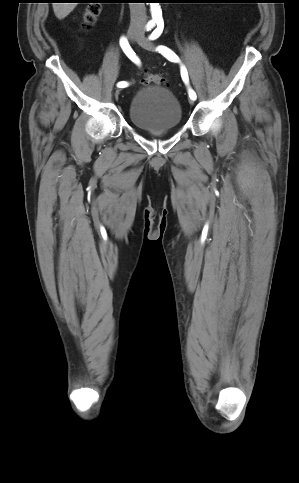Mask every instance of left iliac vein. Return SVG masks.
I'll use <instances>...</instances> for the list:
<instances>
[{
  "label": "left iliac vein",
  "mask_w": 299,
  "mask_h": 483,
  "mask_svg": "<svg viewBox=\"0 0 299 483\" xmlns=\"http://www.w3.org/2000/svg\"><path fill=\"white\" fill-rule=\"evenodd\" d=\"M137 42H138V44H139L141 47H143L144 49H147V50H154V49H155L154 45H153V44H152L150 41H148V40H147V39L144 37V35H143V34H140V35H139V37H138V39H137ZM189 103H190L191 105H193V104H194V100L190 99V100H189Z\"/></svg>",
  "instance_id": "obj_1"
}]
</instances>
